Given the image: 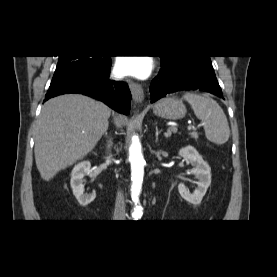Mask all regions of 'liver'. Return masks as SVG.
I'll return each instance as SVG.
<instances>
[{"mask_svg":"<svg viewBox=\"0 0 277 277\" xmlns=\"http://www.w3.org/2000/svg\"><path fill=\"white\" fill-rule=\"evenodd\" d=\"M111 109L92 98L61 95L48 100L36 124L35 161L43 180L84 158L109 126ZM118 128L124 118L113 114Z\"/></svg>","mask_w":277,"mask_h":277,"instance_id":"1","label":"liver"}]
</instances>
